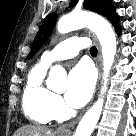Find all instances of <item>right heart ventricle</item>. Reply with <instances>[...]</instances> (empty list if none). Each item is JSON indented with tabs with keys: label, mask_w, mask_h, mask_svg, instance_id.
Returning a JSON list of instances; mask_svg holds the SVG:
<instances>
[{
	"label": "right heart ventricle",
	"mask_w": 136,
	"mask_h": 136,
	"mask_svg": "<svg viewBox=\"0 0 136 136\" xmlns=\"http://www.w3.org/2000/svg\"><path fill=\"white\" fill-rule=\"evenodd\" d=\"M48 65L42 61L29 72L22 96V107L27 118L35 123L46 124L56 118L52 108L54 94L45 85Z\"/></svg>",
	"instance_id": "right-heart-ventricle-1"
}]
</instances>
